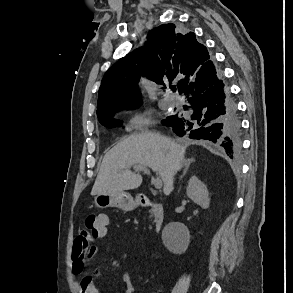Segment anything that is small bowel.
Segmentation results:
<instances>
[{
	"label": "small bowel",
	"mask_w": 293,
	"mask_h": 293,
	"mask_svg": "<svg viewBox=\"0 0 293 293\" xmlns=\"http://www.w3.org/2000/svg\"><path fill=\"white\" fill-rule=\"evenodd\" d=\"M107 234V228L104 232L98 236L81 230L73 245L72 252V271L75 275L81 276V279L77 282L76 286L79 293H99V289L93 281V278L84 275L89 260L98 253V247L92 244L99 238L105 237ZM99 276V274H96ZM123 293H138L133 282L132 276L129 272H125L122 275Z\"/></svg>",
	"instance_id": "small-bowel-1"
}]
</instances>
